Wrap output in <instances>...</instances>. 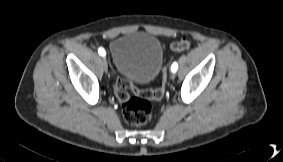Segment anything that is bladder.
<instances>
[{"instance_id":"31cf9c89","label":"bladder","mask_w":283,"mask_h":162,"mask_svg":"<svg viewBox=\"0 0 283 162\" xmlns=\"http://www.w3.org/2000/svg\"><path fill=\"white\" fill-rule=\"evenodd\" d=\"M116 71L136 84L155 80L163 66V48L157 37L145 32L119 36L110 44Z\"/></svg>"}]
</instances>
